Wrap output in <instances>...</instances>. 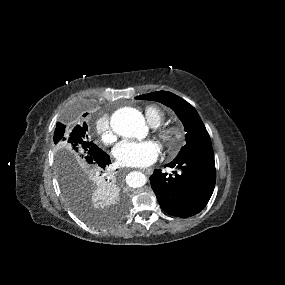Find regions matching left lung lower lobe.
I'll return each mask as SVG.
<instances>
[{"label":"left lung lower lobe","mask_w":285,"mask_h":285,"mask_svg":"<svg viewBox=\"0 0 285 285\" xmlns=\"http://www.w3.org/2000/svg\"><path fill=\"white\" fill-rule=\"evenodd\" d=\"M165 166L178 169V172L167 175L156 169L150 176L152 189L161 208L178 217H190L199 213L214 190V154H194L174 159Z\"/></svg>","instance_id":"left-lung-lower-lobe-1"}]
</instances>
